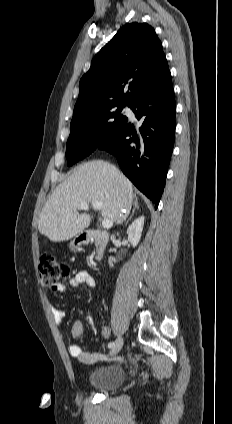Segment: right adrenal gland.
<instances>
[{
    "label": "right adrenal gland",
    "mask_w": 232,
    "mask_h": 424,
    "mask_svg": "<svg viewBox=\"0 0 232 424\" xmlns=\"http://www.w3.org/2000/svg\"><path fill=\"white\" fill-rule=\"evenodd\" d=\"M134 197H135L134 209H133V211H132L131 216L128 218V220H126L125 225H127V224H128V222L132 219V217H133V215H134V213H135V210H136V209H139L138 200H137L136 195H135Z\"/></svg>",
    "instance_id": "right-adrenal-gland-1"
}]
</instances>
